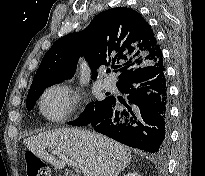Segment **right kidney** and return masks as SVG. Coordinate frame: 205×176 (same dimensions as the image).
Instances as JSON below:
<instances>
[{
  "label": "right kidney",
  "instance_id": "1",
  "mask_svg": "<svg viewBox=\"0 0 205 176\" xmlns=\"http://www.w3.org/2000/svg\"><path fill=\"white\" fill-rule=\"evenodd\" d=\"M124 176H141L140 174H138V173H135V172H131V173H128V174H126V175H124Z\"/></svg>",
  "mask_w": 205,
  "mask_h": 176
}]
</instances>
